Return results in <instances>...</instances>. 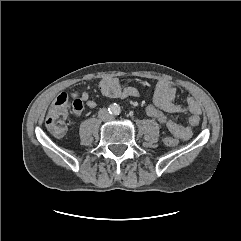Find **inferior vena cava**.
Masks as SVG:
<instances>
[{
	"mask_svg": "<svg viewBox=\"0 0 241 241\" xmlns=\"http://www.w3.org/2000/svg\"><path fill=\"white\" fill-rule=\"evenodd\" d=\"M98 117L102 121H110L113 119V116L108 112V110L106 108H102L99 110Z\"/></svg>",
	"mask_w": 241,
	"mask_h": 241,
	"instance_id": "602c4592",
	"label": "inferior vena cava"
}]
</instances>
